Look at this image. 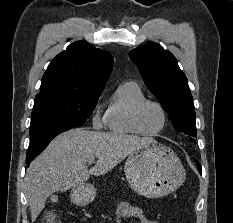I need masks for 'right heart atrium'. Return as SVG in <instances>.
Returning <instances> with one entry per match:
<instances>
[{
    "instance_id": "obj_1",
    "label": "right heart atrium",
    "mask_w": 233,
    "mask_h": 223,
    "mask_svg": "<svg viewBox=\"0 0 233 223\" xmlns=\"http://www.w3.org/2000/svg\"><path fill=\"white\" fill-rule=\"evenodd\" d=\"M91 119L92 125L95 129H101L105 124L104 117L101 116V114L97 110H93L91 114Z\"/></svg>"
}]
</instances>
